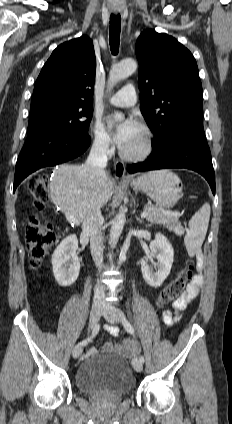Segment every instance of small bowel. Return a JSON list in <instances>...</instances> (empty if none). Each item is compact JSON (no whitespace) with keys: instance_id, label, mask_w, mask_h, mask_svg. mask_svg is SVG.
<instances>
[{"instance_id":"small-bowel-1","label":"small bowel","mask_w":232,"mask_h":424,"mask_svg":"<svg viewBox=\"0 0 232 424\" xmlns=\"http://www.w3.org/2000/svg\"><path fill=\"white\" fill-rule=\"evenodd\" d=\"M198 262L200 263V259L198 260ZM202 281H203L202 275L200 273H197L194 276L191 283L189 284L186 292L174 303V308L176 311H179V312L183 311L186 308L187 304L198 295L199 289L202 285ZM162 319L164 324L167 326L172 325L176 321V319L172 318L170 311L163 312ZM105 332L107 334L114 335V336L118 335L117 327L112 325H106ZM134 344H135L134 347L130 349L128 347L125 348L124 346L121 347L120 343L105 342L101 348V352L103 353L117 352L125 356L134 357L136 356L138 352V346L135 342ZM98 353H99V350L97 348L91 347L87 351V356H94Z\"/></svg>"}]
</instances>
